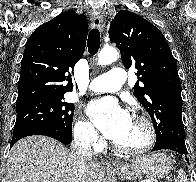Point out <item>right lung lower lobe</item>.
I'll return each mask as SVG.
<instances>
[{"label":"right lung lower lobe","mask_w":196,"mask_h":182,"mask_svg":"<svg viewBox=\"0 0 196 182\" xmlns=\"http://www.w3.org/2000/svg\"><path fill=\"white\" fill-rule=\"evenodd\" d=\"M30 135H46L57 139L63 144H69L71 142L72 134H69L61 129L50 127V126H34L30 128L23 129L21 131L15 132L11 141V146H13L18 140L23 137Z\"/></svg>","instance_id":"obj_1"}]
</instances>
